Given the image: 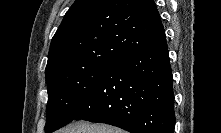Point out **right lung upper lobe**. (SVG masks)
Here are the masks:
<instances>
[{
    "label": "right lung upper lobe",
    "instance_id": "1",
    "mask_svg": "<svg viewBox=\"0 0 221 133\" xmlns=\"http://www.w3.org/2000/svg\"><path fill=\"white\" fill-rule=\"evenodd\" d=\"M165 40L153 0H76L52 38L45 74L112 64Z\"/></svg>",
    "mask_w": 221,
    "mask_h": 133
}]
</instances>
